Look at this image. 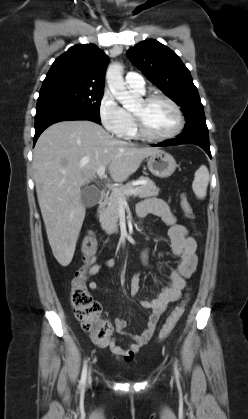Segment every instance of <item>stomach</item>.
I'll return each mask as SVG.
<instances>
[{"label": "stomach", "instance_id": "stomach-1", "mask_svg": "<svg viewBox=\"0 0 248 419\" xmlns=\"http://www.w3.org/2000/svg\"><path fill=\"white\" fill-rule=\"evenodd\" d=\"M147 166L153 175L160 178H167L174 173L177 164L172 155L164 151H159L149 156Z\"/></svg>", "mask_w": 248, "mask_h": 419}]
</instances>
